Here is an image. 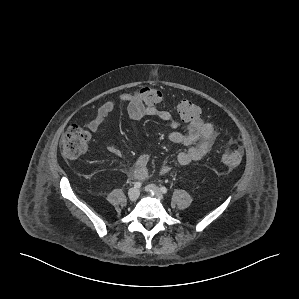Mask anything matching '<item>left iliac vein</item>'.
<instances>
[{"mask_svg":"<svg viewBox=\"0 0 299 299\" xmlns=\"http://www.w3.org/2000/svg\"><path fill=\"white\" fill-rule=\"evenodd\" d=\"M146 191H149L150 193H152L153 195H155L156 197L163 199V194L161 193V191L159 190V188L153 184L151 185H147L145 187Z\"/></svg>","mask_w":299,"mask_h":299,"instance_id":"obj_1","label":"left iliac vein"}]
</instances>
